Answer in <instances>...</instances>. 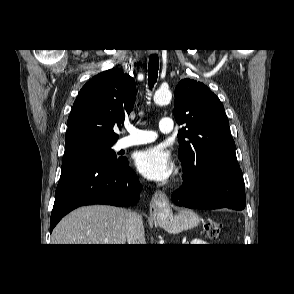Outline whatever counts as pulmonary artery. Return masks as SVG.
<instances>
[{
	"label": "pulmonary artery",
	"mask_w": 294,
	"mask_h": 294,
	"mask_svg": "<svg viewBox=\"0 0 294 294\" xmlns=\"http://www.w3.org/2000/svg\"><path fill=\"white\" fill-rule=\"evenodd\" d=\"M126 128L130 132V135L120 139L119 145L123 148L150 143L157 137V134L154 131L141 130L133 127L132 125H127ZM159 129L163 133L171 132L173 130L172 119L169 117L161 118L159 122Z\"/></svg>",
	"instance_id": "e3ab8cb5"
}]
</instances>
